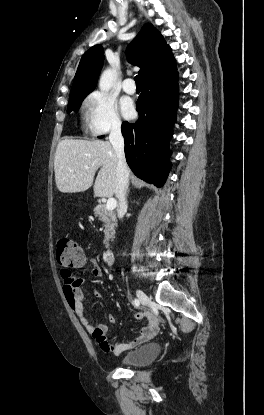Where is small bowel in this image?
<instances>
[{
  "instance_id": "c3829d8e",
  "label": "small bowel",
  "mask_w": 264,
  "mask_h": 415,
  "mask_svg": "<svg viewBox=\"0 0 264 415\" xmlns=\"http://www.w3.org/2000/svg\"><path fill=\"white\" fill-rule=\"evenodd\" d=\"M90 264L92 276L97 279L102 278L103 271L95 259H90ZM60 276L63 280V290L66 296L68 294L71 296V300L68 301L75 315L78 317L85 330L97 341L104 351L111 352L114 355H120L126 350L145 345L156 337L161 319L154 313L143 315L140 312H136L132 315L134 320L145 319V323L140 327V335L134 340L111 344L107 339V332L110 329L111 323L95 324L85 315V296L81 290L84 279L73 275L70 270L64 268L60 270ZM93 295L97 299L102 298V295L98 290H93Z\"/></svg>"
}]
</instances>
